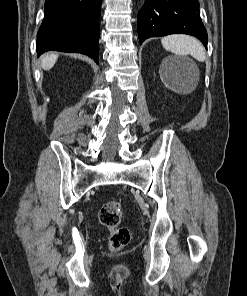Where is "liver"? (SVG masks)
Masks as SVG:
<instances>
[{
	"mask_svg": "<svg viewBox=\"0 0 247 296\" xmlns=\"http://www.w3.org/2000/svg\"><path fill=\"white\" fill-rule=\"evenodd\" d=\"M58 59L55 53H47L41 57V65L44 70L51 69Z\"/></svg>",
	"mask_w": 247,
	"mask_h": 296,
	"instance_id": "liver-1",
	"label": "liver"
}]
</instances>
